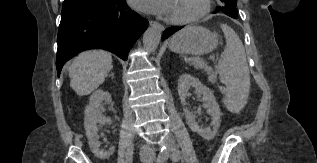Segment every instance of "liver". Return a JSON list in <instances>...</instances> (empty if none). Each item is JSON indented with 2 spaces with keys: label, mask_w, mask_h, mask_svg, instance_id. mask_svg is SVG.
<instances>
[{
  "label": "liver",
  "mask_w": 317,
  "mask_h": 163,
  "mask_svg": "<svg viewBox=\"0 0 317 163\" xmlns=\"http://www.w3.org/2000/svg\"><path fill=\"white\" fill-rule=\"evenodd\" d=\"M112 67L110 53L104 50L82 52L68 69L70 86L77 95H88L104 82Z\"/></svg>",
  "instance_id": "1"
}]
</instances>
